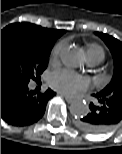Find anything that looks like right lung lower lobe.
I'll return each instance as SVG.
<instances>
[{
	"instance_id": "1",
	"label": "right lung lower lobe",
	"mask_w": 122,
	"mask_h": 154,
	"mask_svg": "<svg viewBox=\"0 0 122 154\" xmlns=\"http://www.w3.org/2000/svg\"><path fill=\"white\" fill-rule=\"evenodd\" d=\"M54 95L51 89L36 93L28 84L1 82V118L13 126L31 125L44 115L46 105Z\"/></svg>"
}]
</instances>
